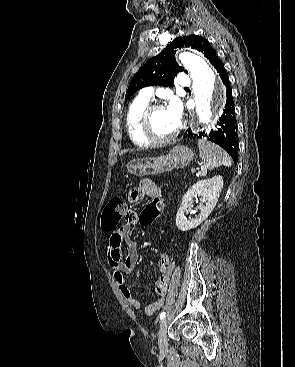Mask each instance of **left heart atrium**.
Instances as JSON below:
<instances>
[{
    "label": "left heart atrium",
    "mask_w": 295,
    "mask_h": 367,
    "mask_svg": "<svg viewBox=\"0 0 295 367\" xmlns=\"http://www.w3.org/2000/svg\"><path fill=\"white\" fill-rule=\"evenodd\" d=\"M166 111L172 121L179 126L182 116V106L180 101L177 98H171L167 107Z\"/></svg>",
    "instance_id": "left-heart-atrium-1"
}]
</instances>
